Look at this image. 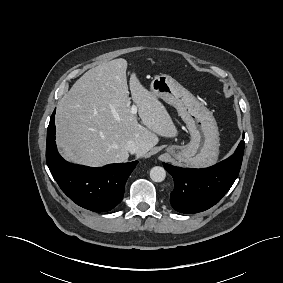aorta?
<instances>
[{"instance_id":"762f6f07","label":"aorta","mask_w":283,"mask_h":283,"mask_svg":"<svg viewBox=\"0 0 283 283\" xmlns=\"http://www.w3.org/2000/svg\"><path fill=\"white\" fill-rule=\"evenodd\" d=\"M166 177V171L163 167L155 166L150 170V178L154 182H162Z\"/></svg>"}]
</instances>
